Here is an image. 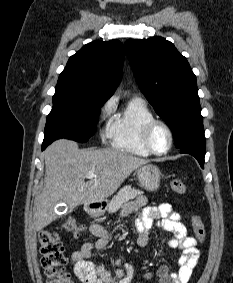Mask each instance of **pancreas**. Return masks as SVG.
I'll list each match as a JSON object with an SVG mask.
<instances>
[{
	"mask_svg": "<svg viewBox=\"0 0 233 283\" xmlns=\"http://www.w3.org/2000/svg\"><path fill=\"white\" fill-rule=\"evenodd\" d=\"M143 191L132 188L130 185L121 188L118 193L112 198L109 203L108 211L109 213L116 212L123 203L128 202L131 199L141 196Z\"/></svg>",
	"mask_w": 233,
	"mask_h": 283,
	"instance_id": "pancreas-1",
	"label": "pancreas"
}]
</instances>
